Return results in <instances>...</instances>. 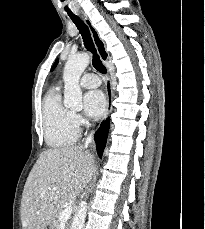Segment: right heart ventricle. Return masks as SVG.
I'll return each mask as SVG.
<instances>
[{
	"instance_id": "obj_1",
	"label": "right heart ventricle",
	"mask_w": 205,
	"mask_h": 229,
	"mask_svg": "<svg viewBox=\"0 0 205 229\" xmlns=\"http://www.w3.org/2000/svg\"><path fill=\"white\" fill-rule=\"evenodd\" d=\"M43 131L48 146L63 148L76 142L79 131L73 113L63 105L61 95L50 91L43 101Z\"/></svg>"
}]
</instances>
